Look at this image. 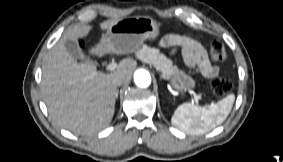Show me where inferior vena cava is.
<instances>
[{
	"label": "inferior vena cava",
	"mask_w": 283,
	"mask_h": 162,
	"mask_svg": "<svg viewBox=\"0 0 283 162\" xmlns=\"http://www.w3.org/2000/svg\"><path fill=\"white\" fill-rule=\"evenodd\" d=\"M124 82H125V79H124V77H121V76L115 77V78L113 79V83H114L116 86H120V85H122Z\"/></svg>",
	"instance_id": "602c4592"
}]
</instances>
